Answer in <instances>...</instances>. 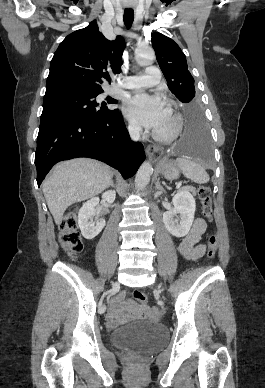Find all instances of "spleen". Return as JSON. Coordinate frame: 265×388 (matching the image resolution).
<instances>
[{
  "mask_svg": "<svg viewBox=\"0 0 265 388\" xmlns=\"http://www.w3.org/2000/svg\"><path fill=\"white\" fill-rule=\"evenodd\" d=\"M178 166L181 168L182 174L189 178V180H193L196 184H207L209 182V176L197 162H193L191 158H177L176 160Z\"/></svg>",
  "mask_w": 265,
  "mask_h": 388,
  "instance_id": "3e777b00",
  "label": "spleen"
}]
</instances>
